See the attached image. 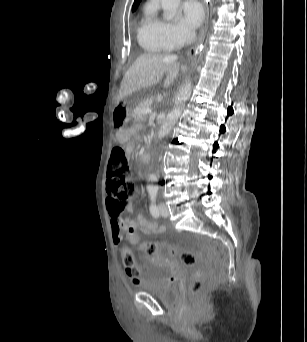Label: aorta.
Returning a JSON list of instances; mask_svg holds the SVG:
<instances>
[{
  "mask_svg": "<svg viewBox=\"0 0 307 342\" xmlns=\"http://www.w3.org/2000/svg\"><path fill=\"white\" fill-rule=\"evenodd\" d=\"M180 2L181 0H161L163 20H165V22H171V20H174L175 16L179 14ZM192 90L193 84L190 80L183 84L176 96L174 110H172L170 114H167L166 122L160 126L158 138H164V136H167V134L171 132L174 124H176L178 118H180L187 100L190 98Z\"/></svg>",
  "mask_w": 307,
  "mask_h": 342,
  "instance_id": "1",
  "label": "aorta"
}]
</instances>
